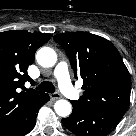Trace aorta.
Wrapping results in <instances>:
<instances>
[{"instance_id": "obj_1", "label": "aorta", "mask_w": 136, "mask_h": 136, "mask_svg": "<svg viewBox=\"0 0 136 136\" xmlns=\"http://www.w3.org/2000/svg\"><path fill=\"white\" fill-rule=\"evenodd\" d=\"M36 59L39 65L48 68L55 65L57 61V54L52 48L42 47L37 51ZM54 109L56 114L61 117L69 116L72 111L70 102L64 99L56 101Z\"/></svg>"}]
</instances>
